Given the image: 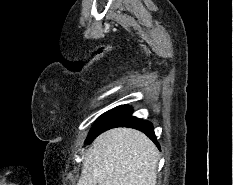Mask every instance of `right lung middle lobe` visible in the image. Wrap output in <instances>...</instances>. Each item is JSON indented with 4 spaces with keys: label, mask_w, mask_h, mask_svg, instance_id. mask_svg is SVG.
Listing matches in <instances>:
<instances>
[{
    "label": "right lung middle lobe",
    "mask_w": 233,
    "mask_h": 185,
    "mask_svg": "<svg viewBox=\"0 0 233 185\" xmlns=\"http://www.w3.org/2000/svg\"><path fill=\"white\" fill-rule=\"evenodd\" d=\"M113 110V109H112ZM112 110L104 113L103 115H101L95 122L94 126L92 127L88 139H87V144H90L94 138H96V136L99 135V130L102 126V123L104 121V119L112 112Z\"/></svg>",
    "instance_id": "dd1d6c3e"
}]
</instances>
